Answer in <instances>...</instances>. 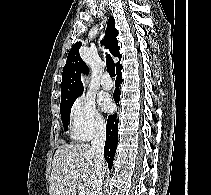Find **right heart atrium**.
Masks as SVG:
<instances>
[{"mask_svg": "<svg viewBox=\"0 0 211 195\" xmlns=\"http://www.w3.org/2000/svg\"><path fill=\"white\" fill-rule=\"evenodd\" d=\"M70 125L74 138L89 140L104 131L105 120L94 100L87 95H81L72 105Z\"/></svg>", "mask_w": 211, "mask_h": 195, "instance_id": "obj_1", "label": "right heart atrium"}]
</instances>
